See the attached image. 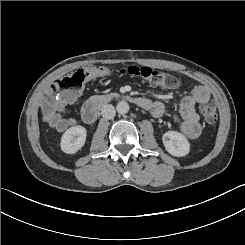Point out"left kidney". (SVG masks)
Wrapping results in <instances>:
<instances>
[{
    "label": "left kidney",
    "instance_id": "1",
    "mask_svg": "<svg viewBox=\"0 0 245 245\" xmlns=\"http://www.w3.org/2000/svg\"><path fill=\"white\" fill-rule=\"evenodd\" d=\"M163 144L169 154L182 157L189 153L190 144L187 138L177 131H168L162 137Z\"/></svg>",
    "mask_w": 245,
    "mask_h": 245
}]
</instances>
